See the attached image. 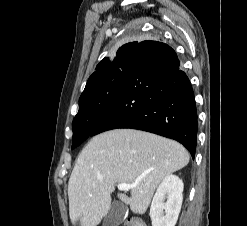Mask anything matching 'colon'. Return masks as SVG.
<instances>
[{"mask_svg":"<svg viewBox=\"0 0 247 226\" xmlns=\"http://www.w3.org/2000/svg\"><path fill=\"white\" fill-rule=\"evenodd\" d=\"M121 226H146V224L138 217H131L127 219Z\"/></svg>","mask_w":247,"mask_h":226,"instance_id":"5ec220e1","label":"colon"}]
</instances>
